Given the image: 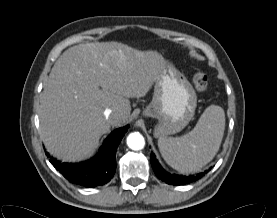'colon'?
Wrapping results in <instances>:
<instances>
[{
  "mask_svg": "<svg viewBox=\"0 0 277 218\" xmlns=\"http://www.w3.org/2000/svg\"><path fill=\"white\" fill-rule=\"evenodd\" d=\"M193 85L199 93H204L208 88L207 75L201 70H197L193 75Z\"/></svg>",
  "mask_w": 277,
  "mask_h": 218,
  "instance_id": "5ec220e1",
  "label": "colon"
}]
</instances>
